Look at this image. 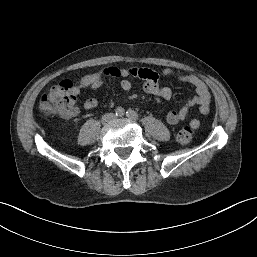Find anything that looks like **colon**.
Listing matches in <instances>:
<instances>
[{"instance_id": "1", "label": "colon", "mask_w": 257, "mask_h": 257, "mask_svg": "<svg viewBox=\"0 0 257 257\" xmlns=\"http://www.w3.org/2000/svg\"><path fill=\"white\" fill-rule=\"evenodd\" d=\"M75 84L70 80H64L44 94L39 102L42 115H67L76 109ZM194 137V131L186 126L177 133V141L181 144H189Z\"/></svg>"}]
</instances>
